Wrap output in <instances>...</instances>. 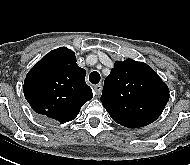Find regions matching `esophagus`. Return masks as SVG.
Instances as JSON below:
<instances>
[{"label": "esophagus", "mask_w": 190, "mask_h": 165, "mask_svg": "<svg viewBox=\"0 0 190 165\" xmlns=\"http://www.w3.org/2000/svg\"><path fill=\"white\" fill-rule=\"evenodd\" d=\"M94 92H95V95H97V96H99L101 94V92H102L101 83L94 86Z\"/></svg>", "instance_id": "obj_1"}]
</instances>
